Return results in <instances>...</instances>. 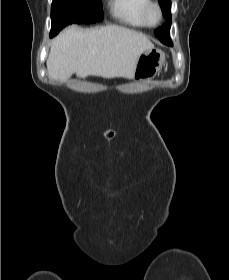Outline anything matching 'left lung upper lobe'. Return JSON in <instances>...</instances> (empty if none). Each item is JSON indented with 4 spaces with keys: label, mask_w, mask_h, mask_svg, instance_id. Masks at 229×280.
<instances>
[{
    "label": "left lung upper lobe",
    "mask_w": 229,
    "mask_h": 280,
    "mask_svg": "<svg viewBox=\"0 0 229 280\" xmlns=\"http://www.w3.org/2000/svg\"><path fill=\"white\" fill-rule=\"evenodd\" d=\"M163 16L166 18V23L162 27L154 31L155 35L164 44H169L170 39V27H171V0H159Z\"/></svg>",
    "instance_id": "left-lung-upper-lobe-1"
}]
</instances>
